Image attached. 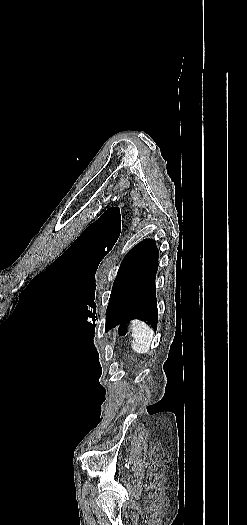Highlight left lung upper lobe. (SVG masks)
<instances>
[{
    "instance_id": "5c2ea615",
    "label": "left lung upper lobe",
    "mask_w": 247,
    "mask_h": 525,
    "mask_svg": "<svg viewBox=\"0 0 247 525\" xmlns=\"http://www.w3.org/2000/svg\"><path fill=\"white\" fill-rule=\"evenodd\" d=\"M157 254L158 249L152 239L141 241L126 254L114 281L107 311L149 268Z\"/></svg>"
}]
</instances>
